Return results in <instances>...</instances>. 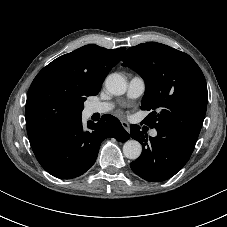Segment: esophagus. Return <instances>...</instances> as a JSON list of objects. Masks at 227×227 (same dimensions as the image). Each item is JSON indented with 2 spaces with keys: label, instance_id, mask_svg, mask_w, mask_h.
<instances>
[{
  "label": "esophagus",
  "instance_id": "obj_1",
  "mask_svg": "<svg viewBox=\"0 0 227 227\" xmlns=\"http://www.w3.org/2000/svg\"><path fill=\"white\" fill-rule=\"evenodd\" d=\"M121 124L123 128L129 133L130 131L129 124L126 121H121Z\"/></svg>",
  "mask_w": 227,
  "mask_h": 227
}]
</instances>
